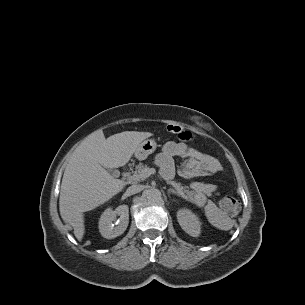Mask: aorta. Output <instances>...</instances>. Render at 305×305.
Returning <instances> with one entry per match:
<instances>
[{
  "instance_id": "762f6f07",
  "label": "aorta",
  "mask_w": 305,
  "mask_h": 305,
  "mask_svg": "<svg viewBox=\"0 0 305 305\" xmlns=\"http://www.w3.org/2000/svg\"><path fill=\"white\" fill-rule=\"evenodd\" d=\"M146 198L150 202H159L161 200V192L156 188H151L146 191Z\"/></svg>"
}]
</instances>
